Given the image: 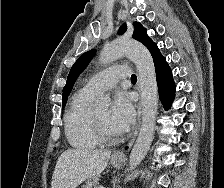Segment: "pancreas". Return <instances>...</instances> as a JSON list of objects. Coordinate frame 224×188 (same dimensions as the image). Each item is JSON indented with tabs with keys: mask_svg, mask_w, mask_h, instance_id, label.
Returning <instances> with one entry per match:
<instances>
[{
	"mask_svg": "<svg viewBox=\"0 0 224 188\" xmlns=\"http://www.w3.org/2000/svg\"><path fill=\"white\" fill-rule=\"evenodd\" d=\"M82 188H98V178L92 177L88 179Z\"/></svg>",
	"mask_w": 224,
	"mask_h": 188,
	"instance_id": "1",
	"label": "pancreas"
}]
</instances>
